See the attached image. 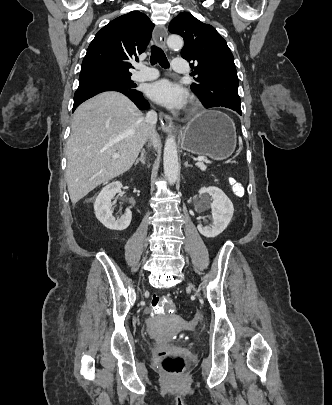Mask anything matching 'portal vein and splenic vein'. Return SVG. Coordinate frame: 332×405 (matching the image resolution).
<instances>
[{
	"label": "portal vein and splenic vein",
	"mask_w": 332,
	"mask_h": 405,
	"mask_svg": "<svg viewBox=\"0 0 332 405\" xmlns=\"http://www.w3.org/2000/svg\"><path fill=\"white\" fill-rule=\"evenodd\" d=\"M114 156H115V157H118V154H115ZM196 161H197L196 166H198V167H203V168H204L203 162H207V161H206L204 158H202V157L196 158Z\"/></svg>",
	"instance_id": "1"
}]
</instances>
